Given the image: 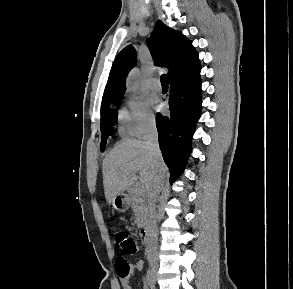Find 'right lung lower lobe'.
<instances>
[{"label":"right lung lower lobe","instance_id":"1","mask_svg":"<svg viewBox=\"0 0 293 289\" xmlns=\"http://www.w3.org/2000/svg\"><path fill=\"white\" fill-rule=\"evenodd\" d=\"M170 116H156L159 146L170 171V181L183 170L191 152L195 125L201 115V78L170 83Z\"/></svg>","mask_w":293,"mask_h":289}]
</instances>
